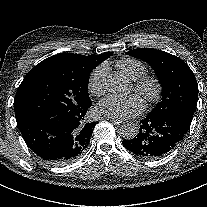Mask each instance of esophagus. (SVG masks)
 <instances>
[{
    "instance_id": "34e87169",
    "label": "esophagus",
    "mask_w": 207,
    "mask_h": 207,
    "mask_svg": "<svg viewBox=\"0 0 207 207\" xmlns=\"http://www.w3.org/2000/svg\"><path fill=\"white\" fill-rule=\"evenodd\" d=\"M106 119H108V120L114 122L115 125H117V126H120V125H122V123H123V120H122V118H120V117H117V118H114V117H106Z\"/></svg>"
}]
</instances>
